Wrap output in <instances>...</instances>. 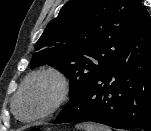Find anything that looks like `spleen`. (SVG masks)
<instances>
[{"label": "spleen", "instance_id": "spleen-1", "mask_svg": "<svg viewBox=\"0 0 151 131\" xmlns=\"http://www.w3.org/2000/svg\"><path fill=\"white\" fill-rule=\"evenodd\" d=\"M77 129L83 131H111V129L107 126L93 123H84L76 126Z\"/></svg>", "mask_w": 151, "mask_h": 131}]
</instances>
